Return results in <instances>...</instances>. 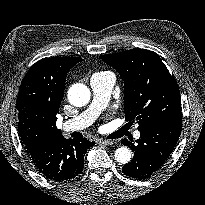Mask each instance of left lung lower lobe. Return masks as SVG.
Segmentation results:
<instances>
[{
    "label": "left lung lower lobe",
    "mask_w": 205,
    "mask_h": 205,
    "mask_svg": "<svg viewBox=\"0 0 205 205\" xmlns=\"http://www.w3.org/2000/svg\"><path fill=\"white\" fill-rule=\"evenodd\" d=\"M182 128V120L170 121L140 131L138 143L127 139L122 144L131 147L134 157L122 167L123 173L136 179H146L154 175L172 153Z\"/></svg>",
    "instance_id": "obj_1"
}]
</instances>
